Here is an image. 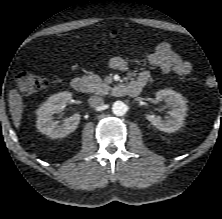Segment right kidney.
<instances>
[{
  "label": "right kidney",
  "instance_id": "1",
  "mask_svg": "<svg viewBox=\"0 0 222 219\" xmlns=\"http://www.w3.org/2000/svg\"><path fill=\"white\" fill-rule=\"evenodd\" d=\"M72 94L69 92H60L48 98L37 110V129L51 138H63L74 132L80 122L81 116L75 113L65 119L62 124L53 120V114L65 108L71 100Z\"/></svg>",
  "mask_w": 222,
  "mask_h": 219
}]
</instances>
